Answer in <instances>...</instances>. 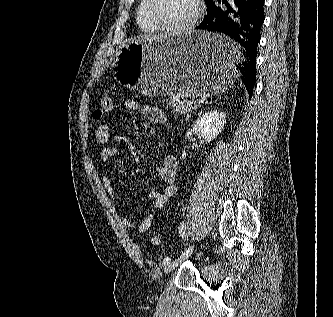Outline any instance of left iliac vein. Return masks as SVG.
<instances>
[{
	"label": "left iliac vein",
	"mask_w": 333,
	"mask_h": 317,
	"mask_svg": "<svg viewBox=\"0 0 333 317\" xmlns=\"http://www.w3.org/2000/svg\"><path fill=\"white\" fill-rule=\"evenodd\" d=\"M192 251H193V247L189 249L188 253H185L180 258H178V259L170 262L169 264H167L164 268L165 273L166 274L171 273L181 263V261L189 255V253L191 254Z\"/></svg>",
	"instance_id": "1"
}]
</instances>
